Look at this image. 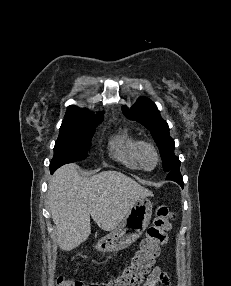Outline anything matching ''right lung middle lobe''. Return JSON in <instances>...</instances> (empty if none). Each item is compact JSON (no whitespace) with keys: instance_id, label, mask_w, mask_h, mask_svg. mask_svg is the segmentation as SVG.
<instances>
[{"instance_id":"obj_1","label":"right lung middle lobe","mask_w":231,"mask_h":286,"mask_svg":"<svg viewBox=\"0 0 231 286\" xmlns=\"http://www.w3.org/2000/svg\"><path fill=\"white\" fill-rule=\"evenodd\" d=\"M102 119V115L65 116L55 143L50 167L57 169L63 164L85 159L95 127Z\"/></svg>"}]
</instances>
